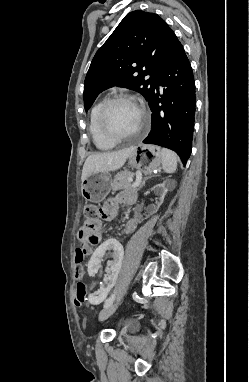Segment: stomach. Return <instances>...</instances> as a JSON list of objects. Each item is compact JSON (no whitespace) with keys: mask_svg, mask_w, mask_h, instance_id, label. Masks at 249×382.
Instances as JSON below:
<instances>
[{"mask_svg":"<svg viewBox=\"0 0 249 382\" xmlns=\"http://www.w3.org/2000/svg\"><path fill=\"white\" fill-rule=\"evenodd\" d=\"M129 165L145 174H151L162 163L160 148L154 145L133 147L129 156ZM112 188L111 176L108 172H95L89 175L81 184V193L86 201L100 203Z\"/></svg>","mask_w":249,"mask_h":382,"instance_id":"0dacf381","label":"stomach"}]
</instances>
